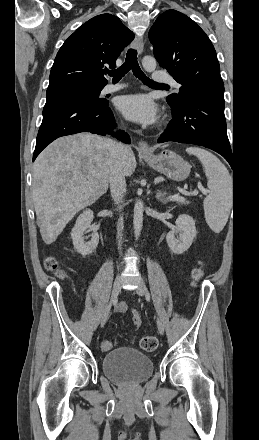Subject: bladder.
<instances>
[{
  "mask_svg": "<svg viewBox=\"0 0 259 440\" xmlns=\"http://www.w3.org/2000/svg\"><path fill=\"white\" fill-rule=\"evenodd\" d=\"M102 370L110 380L121 385H138L153 374L151 358L133 348H119L104 355Z\"/></svg>",
  "mask_w": 259,
  "mask_h": 440,
  "instance_id": "obj_1",
  "label": "bladder"
}]
</instances>
